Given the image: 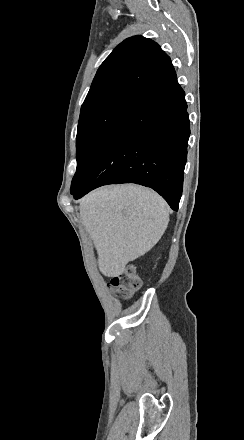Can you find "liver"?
Wrapping results in <instances>:
<instances>
[{
    "mask_svg": "<svg viewBox=\"0 0 244 440\" xmlns=\"http://www.w3.org/2000/svg\"><path fill=\"white\" fill-rule=\"evenodd\" d=\"M79 210L107 278H118L128 262L154 248L169 224L165 200L135 184L98 188L80 200Z\"/></svg>",
    "mask_w": 244,
    "mask_h": 440,
    "instance_id": "6515ba94",
    "label": "liver"
}]
</instances>
